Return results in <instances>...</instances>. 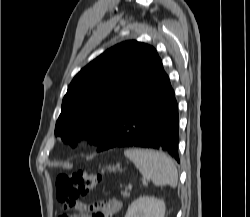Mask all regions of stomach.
<instances>
[{"label":"stomach","mask_w":250,"mask_h":217,"mask_svg":"<svg viewBox=\"0 0 250 217\" xmlns=\"http://www.w3.org/2000/svg\"><path fill=\"white\" fill-rule=\"evenodd\" d=\"M107 170L115 172L116 170H121V169H120V165L117 164L116 166H108Z\"/></svg>","instance_id":"0dacf381"}]
</instances>
